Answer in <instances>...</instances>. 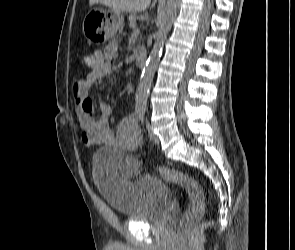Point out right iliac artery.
Returning <instances> with one entry per match:
<instances>
[{
	"instance_id": "obj_1",
	"label": "right iliac artery",
	"mask_w": 295,
	"mask_h": 250,
	"mask_svg": "<svg viewBox=\"0 0 295 250\" xmlns=\"http://www.w3.org/2000/svg\"><path fill=\"white\" fill-rule=\"evenodd\" d=\"M137 115H138L139 120L143 123L144 122V111L138 110Z\"/></svg>"
}]
</instances>
